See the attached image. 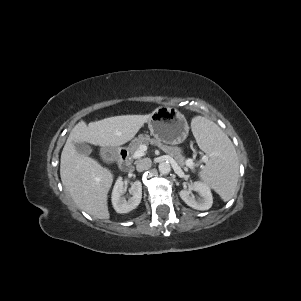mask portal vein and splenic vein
<instances>
[{
	"label": "portal vein and splenic vein",
	"instance_id": "obj_1",
	"mask_svg": "<svg viewBox=\"0 0 301 301\" xmlns=\"http://www.w3.org/2000/svg\"><path fill=\"white\" fill-rule=\"evenodd\" d=\"M146 150H147V146L146 145H141L139 147V149L134 153V155H133L134 158H140V157L144 156V153H145ZM202 161H204V162L207 161V156L206 155H204L202 157ZM186 165L188 167H192L194 165L193 160L192 159H188L186 161Z\"/></svg>",
	"mask_w": 301,
	"mask_h": 301
}]
</instances>
